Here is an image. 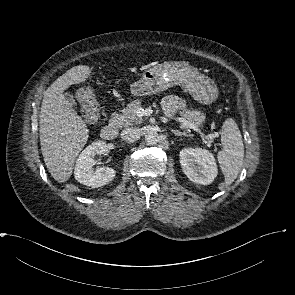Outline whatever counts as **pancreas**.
Masks as SVG:
<instances>
[{"label": "pancreas", "instance_id": "1", "mask_svg": "<svg viewBox=\"0 0 295 295\" xmlns=\"http://www.w3.org/2000/svg\"><path fill=\"white\" fill-rule=\"evenodd\" d=\"M141 101L134 100L121 110V113L115 116L113 123L118 127H127L142 123V118L137 114V109L140 107ZM180 115L187 121L201 126L205 121V115L193 109H184Z\"/></svg>", "mask_w": 295, "mask_h": 295}]
</instances>
